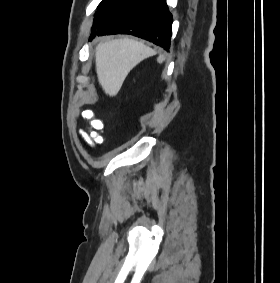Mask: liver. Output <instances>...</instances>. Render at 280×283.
<instances>
[{
  "mask_svg": "<svg viewBox=\"0 0 280 283\" xmlns=\"http://www.w3.org/2000/svg\"><path fill=\"white\" fill-rule=\"evenodd\" d=\"M154 50L130 38H120L98 44L95 52L99 84L109 96H115L128 73Z\"/></svg>",
  "mask_w": 280,
  "mask_h": 283,
  "instance_id": "obj_1",
  "label": "liver"
}]
</instances>
